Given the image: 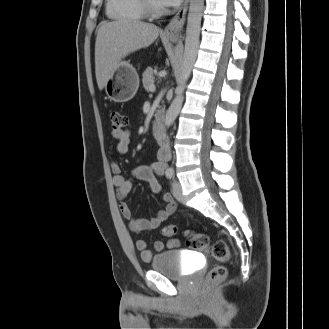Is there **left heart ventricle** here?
Listing matches in <instances>:
<instances>
[{
	"label": "left heart ventricle",
	"mask_w": 329,
	"mask_h": 329,
	"mask_svg": "<svg viewBox=\"0 0 329 329\" xmlns=\"http://www.w3.org/2000/svg\"><path fill=\"white\" fill-rule=\"evenodd\" d=\"M156 6H163L160 0H152Z\"/></svg>",
	"instance_id": "1"
}]
</instances>
